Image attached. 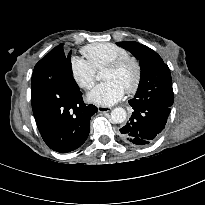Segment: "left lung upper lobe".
<instances>
[{"label":"left lung upper lobe","instance_id":"obj_1","mask_svg":"<svg viewBox=\"0 0 205 205\" xmlns=\"http://www.w3.org/2000/svg\"><path fill=\"white\" fill-rule=\"evenodd\" d=\"M131 52L140 62L141 79L131 101L135 104L166 106L173 104V89L169 67L151 48L133 41L117 42Z\"/></svg>","mask_w":205,"mask_h":205}]
</instances>
